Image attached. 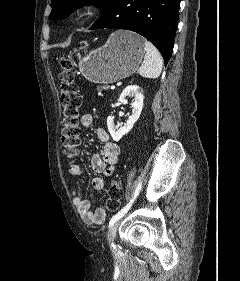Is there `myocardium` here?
I'll use <instances>...</instances> for the list:
<instances>
[{"mask_svg": "<svg viewBox=\"0 0 240 281\" xmlns=\"http://www.w3.org/2000/svg\"><path fill=\"white\" fill-rule=\"evenodd\" d=\"M90 8H91V3H84V4L80 5L76 11V16H78V17L84 16L85 14H87V12L90 10Z\"/></svg>", "mask_w": 240, "mask_h": 281, "instance_id": "obj_1", "label": "myocardium"}]
</instances>
